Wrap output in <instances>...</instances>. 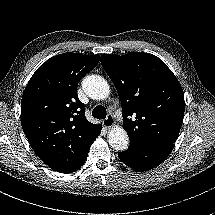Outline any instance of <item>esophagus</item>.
Returning <instances> with one entry per match:
<instances>
[{
    "label": "esophagus",
    "instance_id": "1",
    "mask_svg": "<svg viewBox=\"0 0 215 215\" xmlns=\"http://www.w3.org/2000/svg\"><path fill=\"white\" fill-rule=\"evenodd\" d=\"M102 125L106 129H111L116 125V121L112 114H108L107 117L102 121Z\"/></svg>",
    "mask_w": 215,
    "mask_h": 215
}]
</instances>
